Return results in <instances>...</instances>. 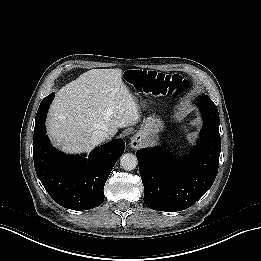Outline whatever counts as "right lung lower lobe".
Returning <instances> with one entry per match:
<instances>
[{
  "label": "right lung lower lobe",
  "mask_w": 261,
  "mask_h": 261,
  "mask_svg": "<svg viewBox=\"0 0 261 261\" xmlns=\"http://www.w3.org/2000/svg\"><path fill=\"white\" fill-rule=\"evenodd\" d=\"M55 94L43 99L35 117L34 166L38 178L59 205L72 210L98 207L104 200V185L125 150L118 139L94 149L87 157L67 156L49 143L45 119Z\"/></svg>",
  "instance_id": "98d812e1"
}]
</instances>
